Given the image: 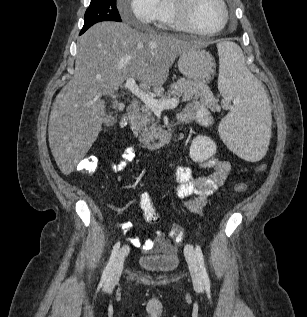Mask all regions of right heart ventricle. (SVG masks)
Instances as JSON below:
<instances>
[{
    "mask_svg": "<svg viewBox=\"0 0 307 317\" xmlns=\"http://www.w3.org/2000/svg\"><path fill=\"white\" fill-rule=\"evenodd\" d=\"M161 17L158 27L163 29L183 30L176 21L171 0H161Z\"/></svg>",
    "mask_w": 307,
    "mask_h": 317,
    "instance_id": "e07e8e85",
    "label": "right heart ventricle"
}]
</instances>
